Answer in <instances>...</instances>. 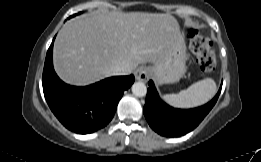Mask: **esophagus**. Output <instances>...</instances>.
Wrapping results in <instances>:
<instances>
[{"label":"esophagus","instance_id":"esophagus-1","mask_svg":"<svg viewBox=\"0 0 261 162\" xmlns=\"http://www.w3.org/2000/svg\"><path fill=\"white\" fill-rule=\"evenodd\" d=\"M134 75L139 81H147L150 76V70L147 67H140L135 71Z\"/></svg>","mask_w":261,"mask_h":162}]
</instances>
